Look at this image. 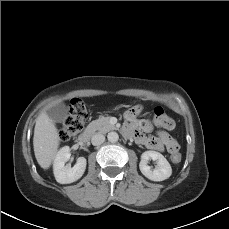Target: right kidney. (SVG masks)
<instances>
[{"label": "right kidney", "mask_w": 229, "mask_h": 229, "mask_svg": "<svg viewBox=\"0 0 229 229\" xmlns=\"http://www.w3.org/2000/svg\"><path fill=\"white\" fill-rule=\"evenodd\" d=\"M70 150L69 146L62 147L54 159V176L60 184H69L77 181L82 177L86 169V159L84 157H79L77 163L72 168L65 165L71 156Z\"/></svg>", "instance_id": "ca27d5eb"}]
</instances>
